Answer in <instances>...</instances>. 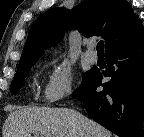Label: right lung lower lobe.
I'll use <instances>...</instances> for the list:
<instances>
[{"mask_svg":"<svg viewBox=\"0 0 144 137\" xmlns=\"http://www.w3.org/2000/svg\"><path fill=\"white\" fill-rule=\"evenodd\" d=\"M108 68L92 69L77 99L99 124L120 137H142L144 116V34L106 52ZM103 77H111L101 83ZM102 86L103 91H97Z\"/></svg>","mask_w":144,"mask_h":137,"instance_id":"1","label":"right lung lower lobe"}]
</instances>
